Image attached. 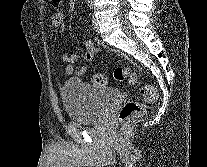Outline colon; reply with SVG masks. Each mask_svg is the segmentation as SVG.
Instances as JSON below:
<instances>
[{
  "mask_svg": "<svg viewBox=\"0 0 207 167\" xmlns=\"http://www.w3.org/2000/svg\"><path fill=\"white\" fill-rule=\"evenodd\" d=\"M114 77L117 81L128 80L130 85H136L139 81L134 70L128 67H117L114 71ZM92 83L99 87H105L109 84V78L102 73H97L92 76ZM142 101H128L126 102L118 113V120L125 122L130 118L141 115L147 105L155 102L158 98L157 90L149 84L141 87Z\"/></svg>",
  "mask_w": 207,
  "mask_h": 167,
  "instance_id": "obj_1",
  "label": "colon"
}]
</instances>
